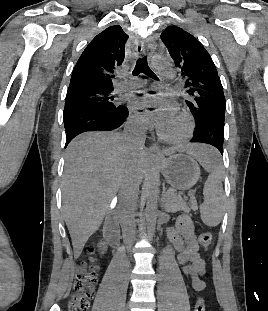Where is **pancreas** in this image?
<instances>
[{
	"label": "pancreas",
	"instance_id": "1",
	"mask_svg": "<svg viewBox=\"0 0 268 311\" xmlns=\"http://www.w3.org/2000/svg\"><path fill=\"white\" fill-rule=\"evenodd\" d=\"M163 203L165 211L168 213H176L180 211L188 213L191 209H197L195 198L192 195L190 201L186 202L173 189L168 190V192L163 196Z\"/></svg>",
	"mask_w": 268,
	"mask_h": 311
}]
</instances>
